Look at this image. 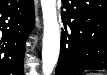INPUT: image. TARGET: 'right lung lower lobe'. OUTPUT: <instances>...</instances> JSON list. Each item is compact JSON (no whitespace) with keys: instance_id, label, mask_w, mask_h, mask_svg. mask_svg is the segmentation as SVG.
Returning a JSON list of instances; mask_svg holds the SVG:
<instances>
[{"instance_id":"obj_1","label":"right lung lower lobe","mask_w":107,"mask_h":75,"mask_svg":"<svg viewBox=\"0 0 107 75\" xmlns=\"http://www.w3.org/2000/svg\"><path fill=\"white\" fill-rule=\"evenodd\" d=\"M33 0H0V75H23L25 40L34 20Z\"/></svg>"}]
</instances>
